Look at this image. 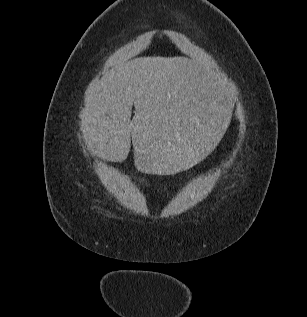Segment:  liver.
Masks as SVG:
<instances>
[{
	"instance_id": "obj_1",
	"label": "liver",
	"mask_w": 307,
	"mask_h": 317,
	"mask_svg": "<svg viewBox=\"0 0 307 317\" xmlns=\"http://www.w3.org/2000/svg\"><path fill=\"white\" fill-rule=\"evenodd\" d=\"M227 88L204 62L135 58L89 85L80 115L83 138L89 149L114 161L127 157L132 139L138 172L184 175L216 154L214 142L223 141Z\"/></svg>"
}]
</instances>
